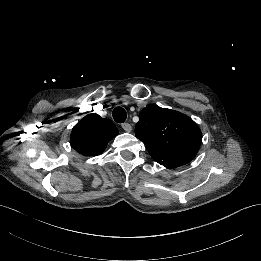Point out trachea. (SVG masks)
<instances>
[{"label": "trachea", "instance_id": "1", "mask_svg": "<svg viewBox=\"0 0 261 261\" xmlns=\"http://www.w3.org/2000/svg\"><path fill=\"white\" fill-rule=\"evenodd\" d=\"M113 118L117 123H123L125 122L127 118V114L124 108L122 107H116L113 110Z\"/></svg>", "mask_w": 261, "mask_h": 261}]
</instances>
